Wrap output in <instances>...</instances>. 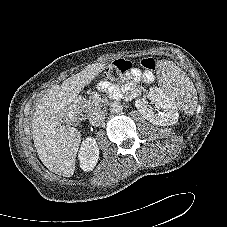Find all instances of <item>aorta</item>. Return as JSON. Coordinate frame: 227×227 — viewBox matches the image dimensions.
<instances>
[{"instance_id":"obj_1","label":"aorta","mask_w":227,"mask_h":227,"mask_svg":"<svg viewBox=\"0 0 227 227\" xmlns=\"http://www.w3.org/2000/svg\"><path fill=\"white\" fill-rule=\"evenodd\" d=\"M123 110V106L120 102L114 101L110 104V111L112 113L118 114Z\"/></svg>"}]
</instances>
